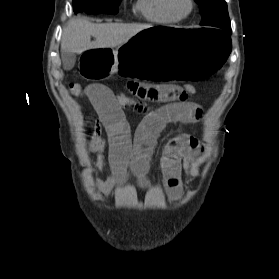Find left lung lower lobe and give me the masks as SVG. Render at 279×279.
Segmentation results:
<instances>
[{
	"instance_id": "1",
	"label": "left lung lower lobe",
	"mask_w": 279,
	"mask_h": 279,
	"mask_svg": "<svg viewBox=\"0 0 279 279\" xmlns=\"http://www.w3.org/2000/svg\"><path fill=\"white\" fill-rule=\"evenodd\" d=\"M226 31H228V32H232V31H231V28H229V29H228V30H226Z\"/></svg>"
}]
</instances>
